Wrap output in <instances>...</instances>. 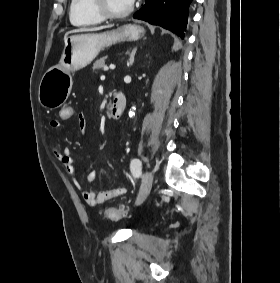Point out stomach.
I'll return each mask as SVG.
<instances>
[{
	"instance_id": "1",
	"label": "stomach",
	"mask_w": 280,
	"mask_h": 283,
	"mask_svg": "<svg viewBox=\"0 0 280 283\" xmlns=\"http://www.w3.org/2000/svg\"><path fill=\"white\" fill-rule=\"evenodd\" d=\"M144 34L142 26L127 24L104 33L68 37L59 64L49 68L40 81V104L48 109L60 107L70 95L73 72L89 65L103 49L117 42L136 41Z\"/></svg>"
}]
</instances>
